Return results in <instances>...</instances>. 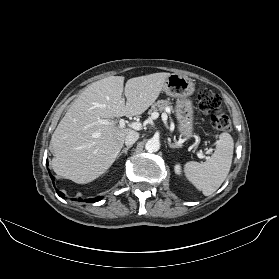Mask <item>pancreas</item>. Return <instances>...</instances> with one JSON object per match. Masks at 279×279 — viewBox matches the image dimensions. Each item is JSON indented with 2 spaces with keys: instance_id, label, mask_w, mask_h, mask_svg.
Wrapping results in <instances>:
<instances>
[{
  "instance_id": "cf45deb5",
  "label": "pancreas",
  "mask_w": 279,
  "mask_h": 279,
  "mask_svg": "<svg viewBox=\"0 0 279 279\" xmlns=\"http://www.w3.org/2000/svg\"><path fill=\"white\" fill-rule=\"evenodd\" d=\"M171 103L167 100H159L156 103H154L149 110V114H152L157 111H165L166 108L172 109V106L170 105Z\"/></svg>"
}]
</instances>
